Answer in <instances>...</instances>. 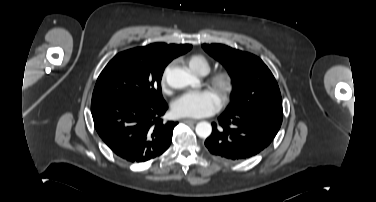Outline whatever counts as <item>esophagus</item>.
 Segmentation results:
<instances>
[{"label": "esophagus", "mask_w": 376, "mask_h": 202, "mask_svg": "<svg viewBox=\"0 0 376 202\" xmlns=\"http://www.w3.org/2000/svg\"><path fill=\"white\" fill-rule=\"evenodd\" d=\"M182 122L187 123V124H194V123H196V120H192V119H183Z\"/></svg>", "instance_id": "34e87169"}]
</instances>
